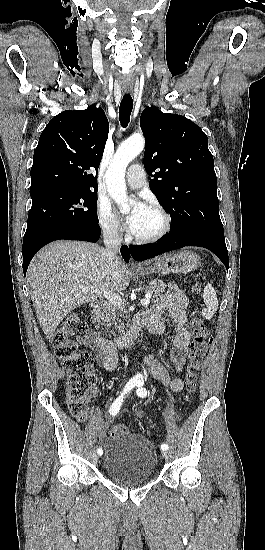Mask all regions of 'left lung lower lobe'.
Here are the masks:
<instances>
[{"mask_svg":"<svg viewBox=\"0 0 265 550\" xmlns=\"http://www.w3.org/2000/svg\"><path fill=\"white\" fill-rule=\"evenodd\" d=\"M184 246H199L209 249L223 262L228 271L229 258L224 237L207 231L186 230L174 234L168 233L158 243L129 246V251L134 260L143 261Z\"/></svg>","mask_w":265,"mask_h":550,"instance_id":"left-lung-lower-lobe-1","label":"left lung lower lobe"}]
</instances>
